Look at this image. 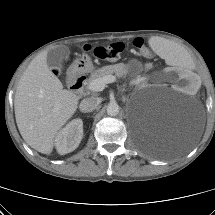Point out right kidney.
Returning a JSON list of instances; mask_svg holds the SVG:
<instances>
[{
    "label": "right kidney",
    "instance_id": "right-kidney-1",
    "mask_svg": "<svg viewBox=\"0 0 215 215\" xmlns=\"http://www.w3.org/2000/svg\"><path fill=\"white\" fill-rule=\"evenodd\" d=\"M83 136V121L74 119L69 122L55 137V146L59 154L64 155L75 150Z\"/></svg>",
    "mask_w": 215,
    "mask_h": 215
}]
</instances>
